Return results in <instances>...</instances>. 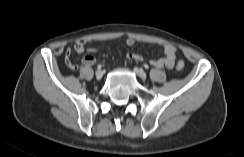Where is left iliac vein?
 Returning a JSON list of instances; mask_svg holds the SVG:
<instances>
[{"instance_id":"obj_1","label":"left iliac vein","mask_w":244,"mask_h":157,"mask_svg":"<svg viewBox=\"0 0 244 157\" xmlns=\"http://www.w3.org/2000/svg\"><path fill=\"white\" fill-rule=\"evenodd\" d=\"M134 72H135L140 78H142V79H145V78H146V73H145L142 69L135 67V68H134Z\"/></svg>"}]
</instances>
